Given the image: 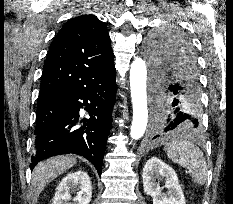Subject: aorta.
I'll use <instances>...</instances> for the list:
<instances>
[{
    "label": "aorta",
    "instance_id": "obj_1",
    "mask_svg": "<svg viewBox=\"0 0 233 204\" xmlns=\"http://www.w3.org/2000/svg\"><path fill=\"white\" fill-rule=\"evenodd\" d=\"M147 66L145 60L136 58L130 68V88L133 105V121L131 125L130 137L138 140L145 133L148 123L147 108ZM166 108L168 104L157 105L156 108Z\"/></svg>",
    "mask_w": 233,
    "mask_h": 204
}]
</instances>
